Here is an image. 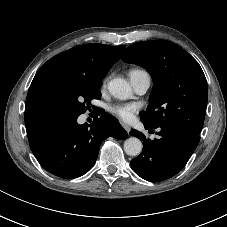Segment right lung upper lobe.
<instances>
[{
  "instance_id": "obj_1",
  "label": "right lung upper lobe",
  "mask_w": 227,
  "mask_h": 227,
  "mask_svg": "<svg viewBox=\"0 0 227 227\" xmlns=\"http://www.w3.org/2000/svg\"><path fill=\"white\" fill-rule=\"evenodd\" d=\"M124 50V45L84 44L48 60L36 73L27 94L25 125L28 139L59 120L52 98L53 88L59 79L104 78Z\"/></svg>"
}]
</instances>
